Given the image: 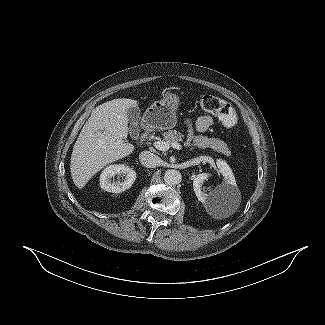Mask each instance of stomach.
I'll return each mask as SVG.
<instances>
[{"mask_svg": "<svg viewBox=\"0 0 325 325\" xmlns=\"http://www.w3.org/2000/svg\"><path fill=\"white\" fill-rule=\"evenodd\" d=\"M180 99L175 93H166L162 99L155 101L144 113V122L148 127L160 130L176 125V110Z\"/></svg>", "mask_w": 325, "mask_h": 325, "instance_id": "stomach-1", "label": "stomach"}]
</instances>
